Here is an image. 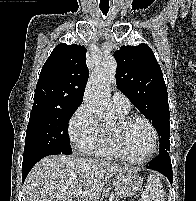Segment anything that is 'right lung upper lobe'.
I'll return each instance as SVG.
<instances>
[{
  "label": "right lung upper lobe",
  "mask_w": 196,
  "mask_h": 201,
  "mask_svg": "<svg viewBox=\"0 0 196 201\" xmlns=\"http://www.w3.org/2000/svg\"><path fill=\"white\" fill-rule=\"evenodd\" d=\"M88 76L85 49L76 44L57 45L42 67L33 105L80 106Z\"/></svg>",
  "instance_id": "cb5924a9"
}]
</instances>
